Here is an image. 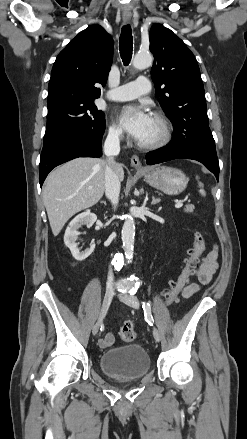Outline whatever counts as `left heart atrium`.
Returning <instances> with one entry per match:
<instances>
[{
	"label": "left heart atrium",
	"mask_w": 247,
	"mask_h": 439,
	"mask_svg": "<svg viewBox=\"0 0 247 439\" xmlns=\"http://www.w3.org/2000/svg\"><path fill=\"white\" fill-rule=\"evenodd\" d=\"M152 117L144 106H127L120 113V121L129 135L141 140L147 133Z\"/></svg>",
	"instance_id": "left-heart-atrium-1"
}]
</instances>
